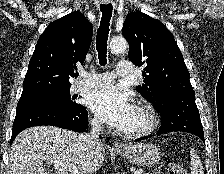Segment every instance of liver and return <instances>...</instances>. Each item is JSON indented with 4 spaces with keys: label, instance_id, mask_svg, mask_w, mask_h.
Returning a JSON list of instances; mask_svg holds the SVG:
<instances>
[{
    "label": "liver",
    "instance_id": "obj_1",
    "mask_svg": "<svg viewBox=\"0 0 224 174\" xmlns=\"http://www.w3.org/2000/svg\"><path fill=\"white\" fill-rule=\"evenodd\" d=\"M105 156L103 145L88 150L81 134L54 126H36L23 130L15 138L9 155L8 174H50L44 162L54 165V174H92ZM56 164L70 167L61 170Z\"/></svg>",
    "mask_w": 224,
    "mask_h": 174
}]
</instances>
